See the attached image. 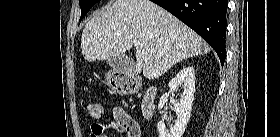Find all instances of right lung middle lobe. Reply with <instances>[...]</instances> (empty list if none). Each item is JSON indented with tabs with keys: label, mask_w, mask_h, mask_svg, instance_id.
Segmentation results:
<instances>
[{
	"label": "right lung middle lobe",
	"mask_w": 280,
	"mask_h": 137,
	"mask_svg": "<svg viewBox=\"0 0 280 137\" xmlns=\"http://www.w3.org/2000/svg\"><path fill=\"white\" fill-rule=\"evenodd\" d=\"M100 0H81L79 2L80 4V8H81V17H80V21L82 20V18L88 13V11L90 10V8L96 4L97 2H99Z\"/></svg>",
	"instance_id": "dd1d6c3e"
}]
</instances>
